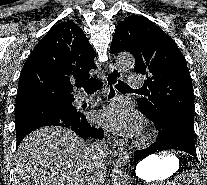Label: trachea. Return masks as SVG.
<instances>
[{
  "label": "trachea",
  "mask_w": 207,
  "mask_h": 185,
  "mask_svg": "<svg viewBox=\"0 0 207 185\" xmlns=\"http://www.w3.org/2000/svg\"><path fill=\"white\" fill-rule=\"evenodd\" d=\"M103 83L95 78H91L89 82L81 83L80 87H83L87 93H94L102 87ZM117 90H132L127 83L121 82L119 80L118 85H116Z\"/></svg>",
  "instance_id": "1"
}]
</instances>
